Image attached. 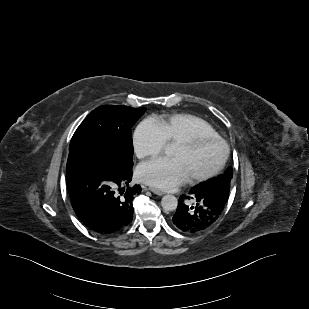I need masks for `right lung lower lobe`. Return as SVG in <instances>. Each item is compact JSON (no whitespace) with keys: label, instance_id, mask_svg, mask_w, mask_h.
Returning <instances> with one entry per match:
<instances>
[{"label":"right lung lower lobe","instance_id":"1","mask_svg":"<svg viewBox=\"0 0 309 309\" xmlns=\"http://www.w3.org/2000/svg\"><path fill=\"white\" fill-rule=\"evenodd\" d=\"M132 166L95 149L69 153L67 187L84 225L103 235L128 226L133 218L132 201L141 192L140 186L128 187Z\"/></svg>","mask_w":309,"mask_h":309}]
</instances>
